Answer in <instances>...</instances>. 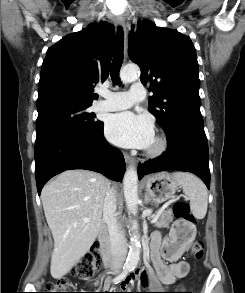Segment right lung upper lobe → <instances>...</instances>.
Returning a JSON list of instances; mask_svg holds the SVG:
<instances>
[{"label":"right lung upper lobe","instance_id":"cb5924a9","mask_svg":"<svg viewBox=\"0 0 245 293\" xmlns=\"http://www.w3.org/2000/svg\"><path fill=\"white\" fill-rule=\"evenodd\" d=\"M114 37L112 25L95 23L50 47L41 67L37 108L91 105L98 98L92 89L109 75Z\"/></svg>","mask_w":245,"mask_h":293}]
</instances>
